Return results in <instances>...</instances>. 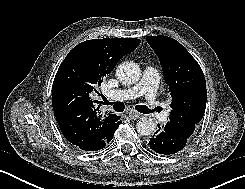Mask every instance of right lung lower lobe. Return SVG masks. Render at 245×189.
<instances>
[{"mask_svg": "<svg viewBox=\"0 0 245 189\" xmlns=\"http://www.w3.org/2000/svg\"><path fill=\"white\" fill-rule=\"evenodd\" d=\"M107 118L108 114L102 115V117H98L95 120V132L90 139L85 141H74L71 143L85 151H97L104 148L113 138L115 131L121 123V121H119L120 117H118V121L112 126H109Z\"/></svg>", "mask_w": 245, "mask_h": 189, "instance_id": "1", "label": "right lung lower lobe"}]
</instances>
